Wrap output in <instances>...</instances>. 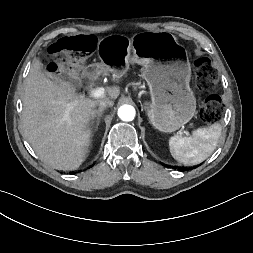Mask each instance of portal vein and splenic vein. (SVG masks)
<instances>
[{
    "label": "portal vein and splenic vein",
    "instance_id": "portal-vein-and-splenic-vein-1",
    "mask_svg": "<svg viewBox=\"0 0 253 253\" xmlns=\"http://www.w3.org/2000/svg\"><path fill=\"white\" fill-rule=\"evenodd\" d=\"M104 88L100 87V88H96V89H93L91 92H90V96L93 97V98H100L104 95ZM184 133L188 136L189 133L187 131H184Z\"/></svg>",
    "mask_w": 253,
    "mask_h": 253
}]
</instances>
